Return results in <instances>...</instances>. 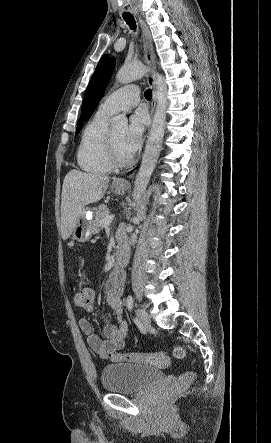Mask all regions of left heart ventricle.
<instances>
[{"label":"left heart ventricle","mask_w":271,"mask_h":443,"mask_svg":"<svg viewBox=\"0 0 271 443\" xmlns=\"http://www.w3.org/2000/svg\"><path fill=\"white\" fill-rule=\"evenodd\" d=\"M125 130H126L125 127L122 126V127H117L115 129H113L112 132H113L114 140H115V143H116V146H117L119 152L124 157H128L129 155L122 148V141H123V137L125 134Z\"/></svg>","instance_id":"left-heart-ventricle-1"}]
</instances>
